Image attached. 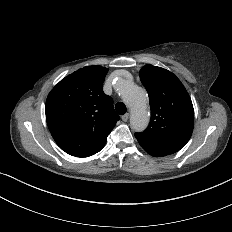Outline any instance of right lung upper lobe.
Returning <instances> with one entry per match:
<instances>
[{
  "label": "right lung upper lobe",
  "mask_w": 232,
  "mask_h": 232,
  "mask_svg": "<svg viewBox=\"0 0 232 232\" xmlns=\"http://www.w3.org/2000/svg\"><path fill=\"white\" fill-rule=\"evenodd\" d=\"M107 72L99 65L79 69L61 80L47 97L48 128L59 147L72 156L99 152L119 120L112 98L103 92Z\"/></svg>",
  "instance_id": "cb5924a9"
}]
</instances>
